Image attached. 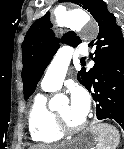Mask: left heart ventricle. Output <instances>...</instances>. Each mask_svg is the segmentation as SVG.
I'll return each mask as SVG.
<instances>
[{
	"label": "left heart ventricle",
	"instance_id": "left-heart-ventricle-1",
	"mask_svg": "<svg viewBox=\"0 0 124 149\" xmlns=\"http://www.w3.org/2000/svg\"><path fill=\"white\" fill-rule=\"evenodd\" d=\"M57 111L70 125H78L84 120L83 118L72 114L69 102H65L59 105V107L57 108Z\"/></svg>",
	"mask_w": 124,
	"mask_h": 149
}]
</instances>
